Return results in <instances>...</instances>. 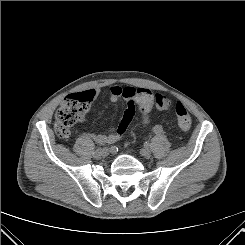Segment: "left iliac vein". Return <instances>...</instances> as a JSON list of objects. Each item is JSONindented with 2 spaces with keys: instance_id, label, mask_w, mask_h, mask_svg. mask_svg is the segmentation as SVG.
Returning a JSON list of instances; mask_svg holds the SVG:
<instances>
[{
  "instance_id": "left-iliac-vein-1",
  "label": "left iliac vein",
  "mask_w": 245,
  "mask_h": 245,
  "mask_svg": "<svg viewBox=\"0 0 245 245\" xmlns=\"http://www.w3.org/2000/svg\"><path fill=\"white\" fill-rule=\"evenodd\" d=\"M140 154L141 156H143L144 158H150L151 157V152L148 148H142L140 150Z\"/></svg>"
}]
</instances>
